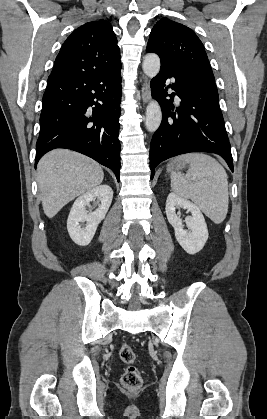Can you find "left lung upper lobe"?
<instances>
[{
  "mask_svg": "<svg viewBox=\"0 0 267 419\" xmlns=\"http://www.w3.org/2000/svg\"><path fill=\"white\" fill-rule=\"evenodd\" d=\"M146 51L158 54L161 66L186 69L214 79L202 42L180 23L159 20L150 33Z\"/></svg>",
  "mask_w": 267,
  "mask_h": 419,
  "instance_id": "1",
  "label": "left lung upper lobe"
}]
</instances>
